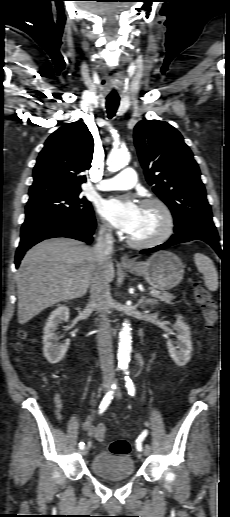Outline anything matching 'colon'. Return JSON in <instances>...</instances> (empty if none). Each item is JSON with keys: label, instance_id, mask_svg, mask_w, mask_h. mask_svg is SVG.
Wrapping results in <instances>:
<instances>
[{"label": "colon", "instance_id": "colon-1", "mask_svg": "<svg viewBox=\"0 0 230 517\" xmlns=\"http://www.w3.org/2000/svg\"><path fill=\"white\" fill-rule=\"evenodd\" d=\"M194 296L195 300L200 306L203 317L206 323V327L209 331H212L218 320V309L215 301L212 299L209 292L201 285L200 282H194ZM21 341L17 343L16 347L18 350H22L24 347V341L26 339V332L20 331L19 333ZM104 429L99 434V439L105 438ZM109 450L113 454L127 455L131 450L130 442L127 439L121 438L114 440L109 445Z\"/></svg>", "mask_w": 230, "mask_h": 517}]
</instances>
